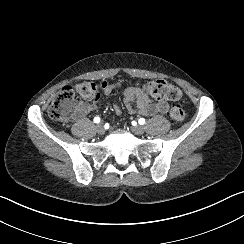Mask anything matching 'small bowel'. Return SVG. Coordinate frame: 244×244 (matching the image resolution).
<instances>
[{
	"instance_id": "c3829d8e",
	"label": "small bowel",
	"mask_w": 244,
	"mask_h": 244,
	"mask_svg": "<svg viewBox=\"0 0 244 244\" xmlns=\"http://www.w3.org/2000/svg\"><path fill=\"white\" fill-rule=\"evenodd\" d=\"M121 87V82L105 81L101 83L104 96H109L113 90ZM123 101L128 109L135 114L151 116L156 114H166L169 111V104L165 101H153L149 95L140 87H130L123 92ZM99 108L98 101L82 104L75 112V118L80 119ZM117 115H122V110L118 105L113 107Z\"/></svg>"
}]
</instances>
